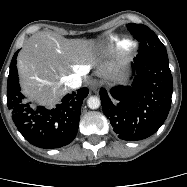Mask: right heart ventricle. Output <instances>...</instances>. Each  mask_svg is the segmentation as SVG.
<instances>
[{
	"instance_id": "1",
	"label": "right heart ventricle",
	"mask_w": 187,
	"mask_h": 187,
	"mask_svg": "<svg viewBox=\"0 0 187 187\" xmlns=\"http://www.w3.org/2000/svg\"><path fill=\"white\" fill-rule=\"evenodd\" d=\"M119 45L127 48V47L131 46V43L129 41H122V42L119 43Z\"/></svg>"
}]
</instances>
